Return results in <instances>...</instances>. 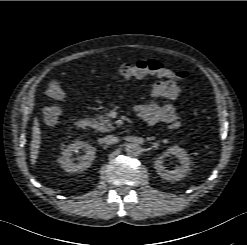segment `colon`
<instances>
[{
  "instance_id": "obj_1",
  "label": "colon",
  "mask_w": 247,
  "mask_h": 245,
  "mask_svg": "<svg viewBox=\"0 0 247 245\" xmlns=\"http://www.w3.org/2000/svg\"><path fill=\"white\" fill-rule=\"evenodd\" d=\"M119 74L124 78L144 77L154 75L164 78H174L185 80L188 77V72L185 70L173 71L155 59L138 60L134 63L122 64L119 67ZM47 94L54 100H62L65 97V92L57 82H51L47 88ZM62 109L58 105L47 106L42 111L43 120L50 125L57 123L60 119ZM182 125L179 118H176L169 123L171 129H178Z\"/></svg>"
}]
</instances>
